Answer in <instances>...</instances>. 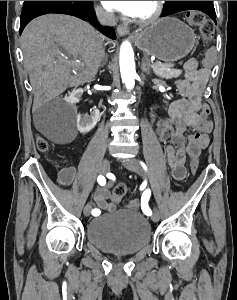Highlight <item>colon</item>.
<instances>
[{
	"instance_id": "1",
	"label": "colon",
	"mask_w": 237,
	"mask_h": 300,
	"mask_svg": "<svg viewBox=\"0 0 237 300\" xmlns=\"http://www.w3.org/2000/svg\"><path fill=\"white\" fill-rule=\"evenodd\" d=\"M186 20L187 22L197 27L200 30L201 36L203 41L209 42L213 36L215 27L211 20H209L201 11L198 10H190L186 13ZM214 61V53L212 51L208 52L205 59L204 64L210 65ZM37 147L40 151H46L49 148L48 141L42 137L39 136L37 138ZM198 158L194 157L191 159L190 163V170L192 174H195L198 170ZM127 188L124 184H120L117 187H115L112 199L116 202L120 201L126 194Z\"/></svg>"
}]
</instances>
